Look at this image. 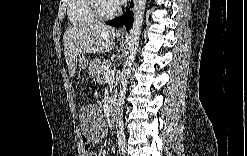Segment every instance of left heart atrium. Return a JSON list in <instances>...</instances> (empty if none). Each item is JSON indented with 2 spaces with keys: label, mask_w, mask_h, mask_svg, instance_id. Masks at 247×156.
Instances as JSON below:
<instances>
[{
  "label": "left heart atrium",
  "mask_w": 247,
  "mask_h": 156,
  "mask_svg": "<svg viewBox=\"0 0 247 156\" xmlns=\"http://www.w3.org/2000/svg\"><path fill=\"white\" fill-rule=\"evenodd\" d=\"M115 5H122L125 3V0H113L112 1Z\"/></svg>",
  "instance_id": "39dd6f15"
}]
</instances>
